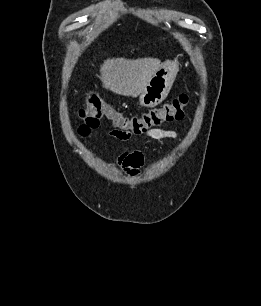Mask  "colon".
<instances>
[{
	"mask_svg": "<svg viewBox=\"0 0 261 306\" xmlns=\"http://www.w3.org/2000/svg\"><path fill=\"white\" fill-rule=\"evenodd\" d=\"M188 101V95L181 94L159 108L141 115L126 116L102 100L97 93L90 92L86 108L80 111L82 123L78 132L81 136H87L91 130L99 126L101 120L107 119L115 127L113 131L120 138L127 139L133 135L144 134L163 122L180 120Z\"/></svg>",
	"mask_w": 261,
	"mask_h": 306,
	"instance_id": "1",
	"label": "colon"
}]
</instances>
